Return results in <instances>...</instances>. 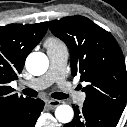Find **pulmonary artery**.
Wrapping results in <instances>:
<instances>
[{
	"label": "pulmonary artery",
	"mask_w": 127,
	"mask_h": 127,
	"mask_svg": "<svg viewBox=\"0 0 127 127\" xmlns=\"http://www.w3.org/2000/svg\"><path fill=\"white\" fill-rule=\"evenodd\" d=\"M47 55L49 58L48 71L44 75L26 82L25 85L35 90H41L56 82L63 92L69 94L72 92V85L64 78L68 59L66 48L64 46L47 48ZM74 96L78 103H83L85 100V94L82 92L75 93Z\"/></svg>",
	"instance_id": "obj_1"
}]
</instances>
